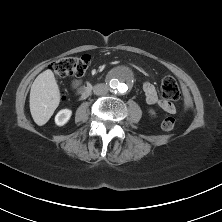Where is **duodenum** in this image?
I'll return each mask as SVG.
<instances>
[{
  "mask_svg": "<svg viewBox=\"0 0 222 222\" xmlns=\"http://www.w3.org/2000/svg\"><path fill=\"white\" fill-rule=\"evenodd\" d=\"M92 88H93L92 84H90V83H86L85 85H83L80 90L79 98L80 99L87 98L88 95L90 94V92L92 91Z\"/></svg>",
  "mask_w": 222,
  "mask_h": 222,
  "instance_id": "obj_1",
  "label": "duodenum"
}]
</instances>
